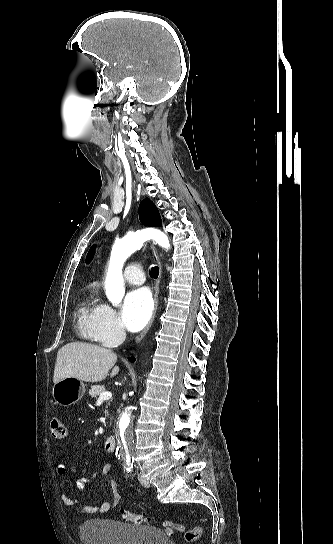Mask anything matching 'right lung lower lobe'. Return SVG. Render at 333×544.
Here are the masks:
<instances>
[{"instance_id": "1", "label": "right lung lower lobe", "mask_w": 333, "mask_h": 544, "mask_svg": "<svg viewBox=\"0 0 333 544\" xmlns=\"http://www.w3.org/2000/svg\"><path fill=\"white\" fill-rule=\"evenodd\" d=\"M129 361L134 362V361H135V358H134V357H131V358L129 359Z\"/></svg>"}]
</instances>
